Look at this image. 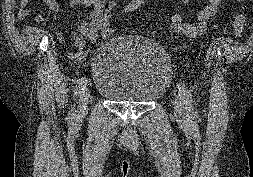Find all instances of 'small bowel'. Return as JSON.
Listing matches in <instances>:
<instances>
[{
	"instance_id": "small-bowel-1",
	"label": "small bowel",
	"mask_w": 253,
	"mask_h": 177,
	"mask_svg": "<svg viewBox=\"0 0 253 177\" xmlns=\"http://www.w3.org/2000/svg\"><path fill=\"white\" fill-rule=\"evenodd\" d=\"M49 8L50 12L56 15L59 11L57 0H42ZM174 1V0H167ZM183 5H187L189 0H179ZM222 0H208L206 6L201 9L197 15V21L188 23L182 13H175L172 18V27L174 32L186 36L188 39H195L203 35L208 28V24L215 19ZM108 0H70L72 8L81 7L85 14H88V20H82L78 24V32H71L75 51L69 52L68 56L72 60H79L87 53V44H93L97 41L103 25L104 9ZM19 19L24 20L30 13V0H20ZM43 20V16L38 17ZM62 39V35L58 34Z\"/></svg>"
}]
</instances>
